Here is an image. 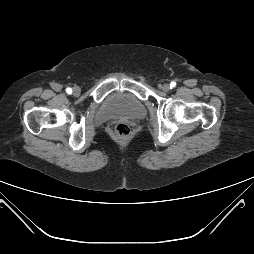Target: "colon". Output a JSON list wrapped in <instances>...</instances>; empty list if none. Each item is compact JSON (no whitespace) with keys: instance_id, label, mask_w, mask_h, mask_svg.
Segmentation results:
<instances>
[{"instance_id":"obj_1","label":"colon","mask_w":254,"mask_h":254,"mask_svg":"<svg viewBox=\"0 0 254 254\" xmlns=\"http://www.w3.org/2000/svg\"><path fill=\"white\" fill-rule=\"evenodd\" d=\"M115 134L120 138H126L130 134V127L126 123H119L115 126Z\"/></svg>"}]
</instances>
